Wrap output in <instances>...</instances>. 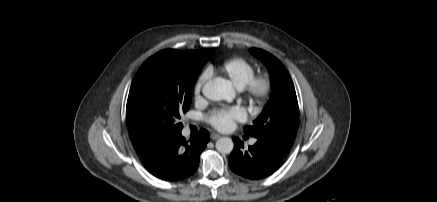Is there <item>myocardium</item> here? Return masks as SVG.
I'll use <instances>...</instances> for the list:
<instances>
[{
    "label": "myocardium",
    "instance_id": "f54148a6",
    "mask_svg": "<svg viewBox=\"0 0 437 202\" xmlns=\"http://www.w3.org/2000/svg\"><path fill=\"white\" fill-rule=\"evenodd\" d=\"M272 90V81L267 74L253 75L242 88L245 97L252 103L264 101Z\"/></svg>",
    "mask_w": 437,
    "mask_h": 202
}]
</instances>
